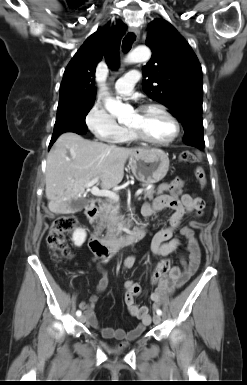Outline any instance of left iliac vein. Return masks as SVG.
<instances>
[{"instance_id":"left-iliac-vein-1","label":"left iliac vein","mask_w":247,"mask_h":385,"mask_svg":"<svg viewBox=\"0 0 247 385\" xmlns=\"http://www.w3.org/2000/svg\"><path fill=\"white\" fill-rule=\"evenodd\" d=\"M153 322H154V324H159L160 322H161V317H160V315H154L153 316Z\"/></svg>"}]
</instances>
